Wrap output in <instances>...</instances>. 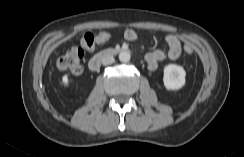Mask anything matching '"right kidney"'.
I'll return each instance as SVG.
<instances>
[{"label":"right kidney","mask_w":244,"mask_h":157,"mask_svg":"<svg viewBox=\"0 0 244 157\" xmlns=\"http://www.w3.org/2000/svg\"><path fill=\"white\" fill-rule=\"evenodd\" d=\"M62 85L67 86L69 83V75L62 76L61 82Z\"/></svg>","instance_id":"obj_1"}]
</instances>
